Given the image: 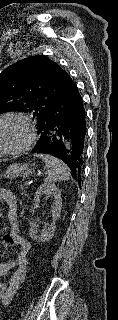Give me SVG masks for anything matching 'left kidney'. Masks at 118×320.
Here are the masks:
<instances>
[{"label": "left kidney", "mask_w": 118, "mask_h": 320, "mask_svg": "<svg viewBox=\"0 0 118 320\" xmlns=\"http://www.w3.org/2000/svg\"><path fill=\"white\" fill-rule=\"evenodd\" d=\"M42 195H47L53 199L52 216H57L61 208V197L59 191L54 186L45 184L38 190L37 198H41ZM32 233L34 238H43L48 232L47 229L40 231L36 228Z\"/></svg>", "instance_id": "obj_1"}]
</instances>
